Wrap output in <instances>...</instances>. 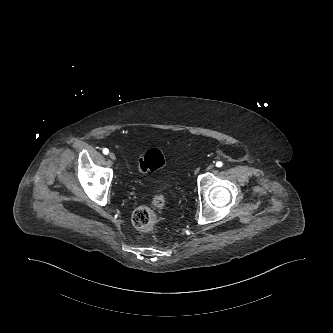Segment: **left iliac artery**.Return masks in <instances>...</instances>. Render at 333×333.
I'll list each match as a JSON object with an SVG mask.
<instances>
[{"mask_svg":"<svg viewBox=\"0 0 333 333\" xmlns=\"http://www.w3.org/2000/svg\"><path fill=\"white\" fill-rule=\"evenodd\" d=\"M222 165H223V163L221 162V161H218L217 163H216V167H222Z\"/></svg>","mask_w":333,"mask_h":333,"instance_id":"left-iliac-artery-1","label":"left iliac artery"}]
</instances>
